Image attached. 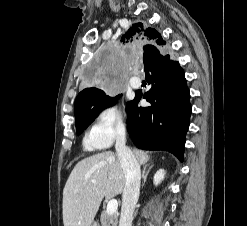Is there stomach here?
<instances>
[{
	"label": "stomach",
	"instance_id": "0dacf381",
	"mask_svg": "<svg viewBox=\"0 0 247 226\" xmlns=\"http://www.w3.org/2000/svg\"><path fill=\"white\" fill-rule=\"evenodd\" d=\"M91 226H97V224L94 223V224H92Z\"/></svg>",
	"mask_w": 247,
	"mask_h": 226
}]
</instances>
